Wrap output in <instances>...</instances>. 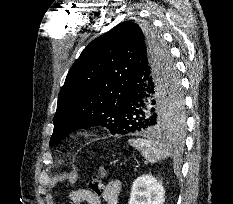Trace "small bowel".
<instances>
[{"instance_id":"obj_1","label":"small bowel","mask_w":233,"mask_h":204,"mask_svg":"<svg viewBox=\"0 0 233 204\" xmlns=\"http://www.w3.org/2000/svg\"><path fill=\"white\" fill-rule=\"evenodd\" d=\"M120 191L121 182L119 180L110 181L99 198H92L88 195L86 189H79V192L83 194L81 204H118Z\"/></svg>"}]
</instances>
